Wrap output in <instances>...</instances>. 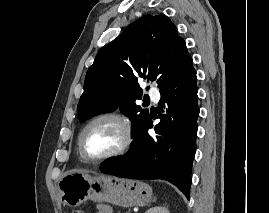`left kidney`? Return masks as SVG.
Returning a JSON list of instances; mask_svg holds the SVG:
<instances>
[{"mask_svg": "<svg viewBox=\"0 0 270 213\" xmlns=\"http://www.w3.org/2000/svg\"><path fill=\"white\" fill-rule=\"evenodd\" d=\"M145 213H170L168 208L163 206H155L153 208H150Z\"/></svg>", "mask_w": 270, "mask_h": 213, "instance_id": "left-kidney-1", "label": "left kidney"}]
</instances>
